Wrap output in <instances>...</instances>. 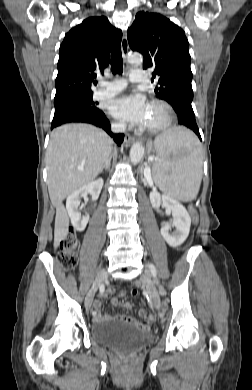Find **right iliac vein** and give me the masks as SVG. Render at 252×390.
I'll list each match as a JSON object with an SVG mask.
<instances>
[{
  "instance_id": "right-iliac-vein-1",
  "label": "right iliac vein",
  "mask_w": 252,
  "mask_h": 390,
  "mask_svg": "<svg viewBox=\"0 0 252 390\" xmlns=\"http://www.w3.org/2000/svg\"><path fill=\"white\" fill-rule=\"evenodd\" d=\"M107 279V271L105 269H102L98 272L96 279L88 292L86 298H85V307L87 310L91 309V305L93 302L94 295L98 288L100 287L101 283Z\"/></svg>"
}]
</instances>
